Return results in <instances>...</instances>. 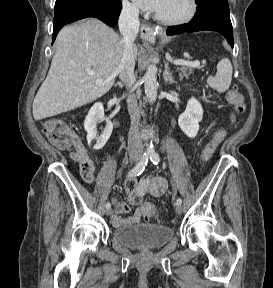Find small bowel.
Returning a JSON list of instances; mask_svg holds the SVG:
<instances>
[{"label":"small bowel","mask_w":273,"mask_h":288,"mask_svg":"<svg viewBox=\"0 0 273 288\" xmlns=\"http://www.w3.org/2000/svg\"><path fill=\"white\" fill-rule=\"evenodd\" d=\"M235 116L232 114L230 120L233 122ZM72 158L80 165V174L82 179L91 184L94 182L95 165L94 162L80 141L75 144V149L71 153ZM168 183L165 178L158 176H147L137 181L133 176H129L125 181V189L128 195L129 204L135 206V211L132 215L123 216L127 214L130 207L127 203L112 200L114 215L111 222L114 226H122L126 224L139 223L144 215L141 207L139 206L142 198L146 195L160 197L167 191Z\"/></svg>","instance_id":"obj_1"}]
</instances>
